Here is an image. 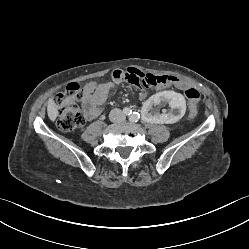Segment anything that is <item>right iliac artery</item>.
Wrapping results in <instances>:
<instances>
[{
	"mask_svg": "<svg viewBox=\"0 0 249 249\" xmlns=\"http://www.w3.org/2000/svg\"><path fill=\"white\" fill-rule=\"evenodd\" d=\"M123 113H124V115L129 116L132 114V110H130L129 108L126 107L123 109Z\"/></svg>",
	"mask_w": 249,
	"mask_h": 249,
	"instance_id": "82829eb1",
	"label": "right iliac artery"
}]
</instances>
